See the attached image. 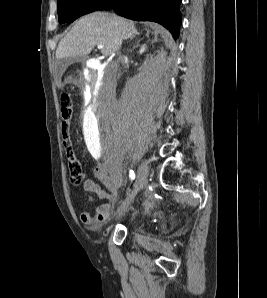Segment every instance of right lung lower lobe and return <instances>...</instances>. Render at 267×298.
I'll list each match as a JSON object with an SVG mask.
<instances>
[{
    "label": "right lung lower lobe",
    "instance_id": "1",
    "mask_svg": "<svg viewBox=\"0 0 267 298\" xmlns=\"http://www.w3.org/2000/svg\"><path fill=\"white\" fill-rule=\"evenodd\" d=\"M182 0H105L96 10L113 9L118 15L137 21H154L178 38Z\"/></svg>",
    "mask_w": 267,
    "mask_h": 298
}]
</instances>
